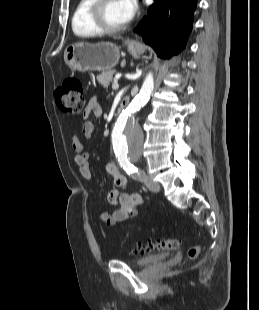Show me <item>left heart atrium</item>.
<instances>
[{
	"label": "left heart atrium",
	"instance_id": "39dd6f15",
	"mask_svg": "<svg viewBox=\"0 0 259 310\" xmlns=\"http://www.w3.org/2000/svg\"><path fill=\"white\" fill-rule=\"evenodd\" d=\"M118 1L122 9L125 22L130 21L135 16L137 10L136 0H118Z\"/></svg>",
	"mask_w": 259,
	"mask_h": 310
}]
</instances>
